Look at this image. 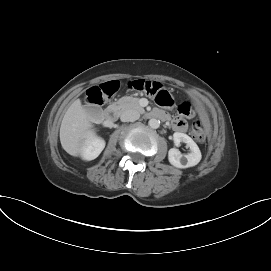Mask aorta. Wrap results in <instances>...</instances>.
Returning <instances> with one entry per match:
<instances>
[{
  "instance_id": "762f6f07",
  "label": "aorta",
  "mask_w": 271,
  "mask_h": 271,
  "mask_svg": "<svg viewBox=\"0 0 271 271\" xmlns=\"http://www.w3.org/2000/svg\"><path fill=\"white\" fill-rule=\"evenodd\" d=\"M148 125L153 129H157L160 125V121L155 118H151L148 122Z\"/></svg>"
}]
</instances>
